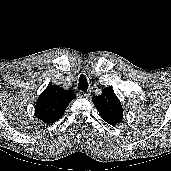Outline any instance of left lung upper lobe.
Wrapping results in <instances>:
<instances>
[{"mask_svg": "<svg viewBox=\"0 0 171 171\" xmlns=\"http://www.w3.org/2000/svg\"><path fill=\"white\" fill-rule=\"evenodd\" d=\"M92 101L102 119L107 123L116 125L122 121L123 108L111 87L105 88L101 95L94 96Z\"/></svg>", "mask_w": 171, "mask_h": 171, "instance_id": "left-lung-upper-lobe-1", "label": "left lung upper lobe"}]
</instances>
